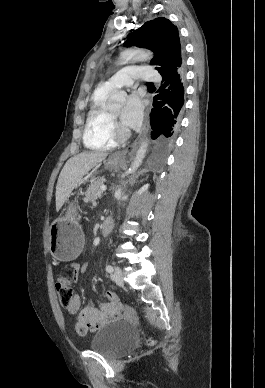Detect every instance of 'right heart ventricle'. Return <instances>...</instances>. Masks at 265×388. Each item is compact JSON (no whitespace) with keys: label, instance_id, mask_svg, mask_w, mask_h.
I'll return each mask as SVG.
<instances>
[{"label":"right heart ventricle","instance_id":"e07e8e85","mask_svg":"<svg viewBox=\"0 0 265 388\" xmlns=\"http://www.w3.org/2000/svg\"><path fill=\"white\" fill-rule=\"evenodd\" d=\"M109 91H94L91 109L87 116L84 141L95 150H109L115 146V137L111 130L109 114L105 102Z\"/></svg>","mask_w":265,"mask_h":388}]
</instances>
